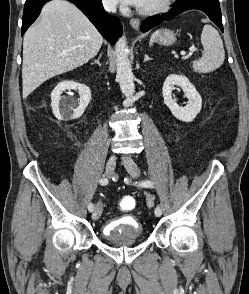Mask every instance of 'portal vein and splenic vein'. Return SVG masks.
<instances>
[{
  "instance_id": "1",
  "label": "portal vein and splenic vein",
  "mask_w": 249,
  "mask_h": 294,
  "mask_svg": "<svg viewBox=\"0 0 249 294\" xmlns=\"http://www.w3.org/2000/svg\"><path fill=\"white\" fill-rule=\"evenodd\" d=\"M196 51L195 48H190L189 55H192ZM181 55L185 56V52H182Z\"/></svg>"
}]
</instances>
